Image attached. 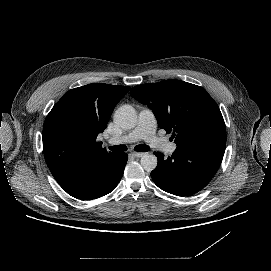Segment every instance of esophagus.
Instances as JSON below:
<instances>
[{"mask_svg": "<svg viewBox=\"0 0 271 271\" xmlns=\"http://www.w3.org/2000/svg\"><path fill=\"white\" fill-rule=\"evenodd\" d=\"M132 155L135 156L136 158H141L142 156L145 155V153L144 152H133Z\"/></svg>", "mask_w": 271, "mask_h": 271, "instance_id": "obj_1", "label": "esophagus"}]
</instances>
